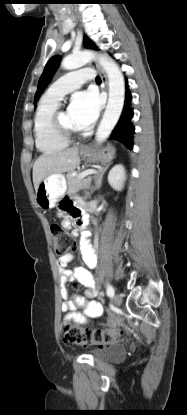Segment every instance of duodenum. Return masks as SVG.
Listing matches in <instances>:
<instances>
[{
  "mask_svg": "<svg viewBox=\"0 0 187 415\" xmlns=\"http://www.w3.org/2000/svg\"><path fill=\"white\" fill-rule=\"evenodd\" d=\"M85 223H86V218L84 216L78 218L76 220L77 229L81 230L85 226Z\"/></svg>",
  "mask_w": 187,
  "mask_h": 415,
  "instance_id": "obj_1",
  "label": "duodenum"
}]
</instances>
